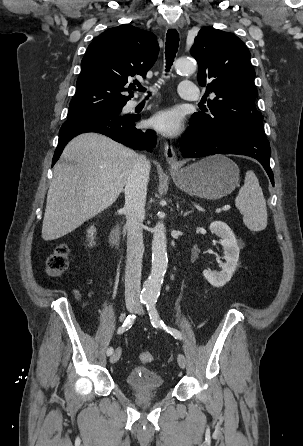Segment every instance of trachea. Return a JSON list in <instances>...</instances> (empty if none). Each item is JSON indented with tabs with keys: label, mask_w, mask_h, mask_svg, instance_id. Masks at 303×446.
Instances as JSON below:
<instances>
[{
	"label": "trachea",
	"mask_w": 303,
	"mask_h": 446,
	"mask_svg": "<svg viewBox=\"0 0 303 446\" xmlns=\"http://www.w3.org/2000/svg\"><path fill=\"white\" fill-rule=\"evenodd\" d=\"M179 46V34L175 29H169L166 35V72L169 71L174 61ZM138 91L145 92L146 88L139 85Z\"/></svg>",
	"instance_id": "3493384b"
}]
</instances>
